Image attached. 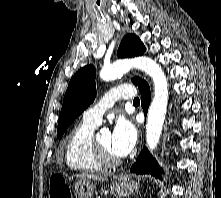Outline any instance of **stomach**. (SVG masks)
<instances>
[{"label":"stomach","mask_w":221,"mask_h":198,"mask_svg":"<svg viewBox=\"0 0 221 198\" xmlns=\"http://www.w3.org/2000/svg\"><path fill=\"white\" fill-rule=\"evenodd\" d=\"M75 195L78 198H92L95 184L91 181L78 180L74 184ZM138 183L127 177H117L110 185V191L116 198H124L127 195L137 192Z\"/></svg>","instance_id":"0dacf381"}]
</instances>
